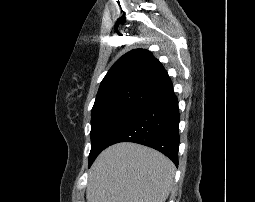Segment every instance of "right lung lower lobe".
I'll return each mask as SVG.
<instances>
[{
	"label": "right lung lower lobe",
	"mask_w": 255,
	"mask_h": 202,
	"mask_svg": "<svg viewBox=\"0 0 255 202\" xmlns=\"http://www.w3.org/2000/svg\"><path fill=\"white\" fill-rule=\"evenodd\" d=\"M178 100L172 92L138 110L109 140L107 147L119 142H135L154 148L178 165Z\"/></svg>",
	"instance_id": "obj_1"
}]
</instances>
